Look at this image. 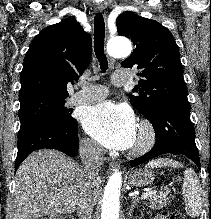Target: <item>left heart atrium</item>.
I'll list each match as a JSON object with an SVG mask.
<instances>
[{
  "mask_svg": "<svg viewBox=\"0 0 211 219\" xmlns=\"http://www.w3.org/2000/svg\"><path fill=\"white\" fill-rule=\"evenodd\" d=\"M82 122L86 132L109 149L126 150L137 139L134 114L123 105L104 102L90 107Z\"/></svg>",
  "mask_w": 211,
  "mask_h": 219,
  "instance_id": "1",
  "label": "left heart atrium"
}]
</instances>
